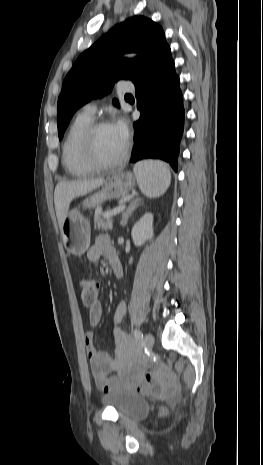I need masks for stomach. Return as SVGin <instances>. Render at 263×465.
Segmentation results:
<instances>
[{"instance_id":"stomach-1","label":"stomach","mask_w":263,"mask_h":465,"mask_svg":"<svg viewBox=\"0 0 263 465\" xmlns=\"http://www.w3.org/2000/svg\"><path fill=\"white\" fill-rule=\"evenodd\" d=\"M135 186V177L125 171H120L109 178L101 190L87 197L82 205L94 208L104 201L121 198L127 195ZM90 223L77 208L70 210L62 222L61 237L66 250L73 255H83L90 245Z\"/></svg>"}]
</instances>
